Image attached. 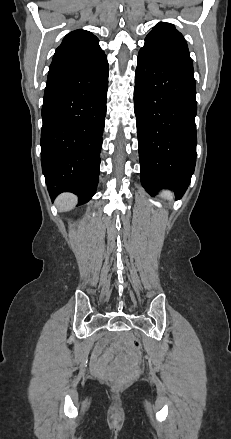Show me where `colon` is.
I'll list each match as a JSON object with an SVG mask.
<instances>
[{
    "label": "colon",
    "instance_id": "obj_1",
    "mask_svg": "<svg viewBox=\"0 0 231 439\" xmlns=\"http://www.w3.org/2000/svg\"><path fill=\"white\" fill-rule=\"evenodd\" d=\"M130 347L133 351L140 352L142 345H141V342L137 338H133L130 341ZM138 372H139V367L137 365L132 372H130L128 374H123V375L117 376V378H116L117 384L123 385V384L127 383L129 380L134 378Z\"/></svg>",
    "mask_w": 231,
    "mask_h": 439
}]
</instances>
